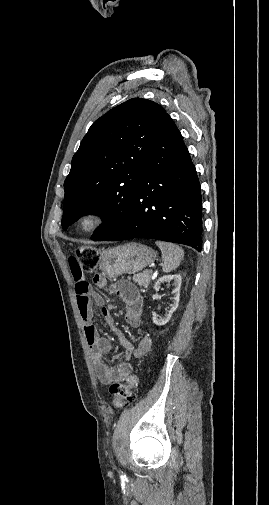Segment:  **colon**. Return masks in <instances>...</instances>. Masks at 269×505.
<instances>
[{
    "instance_id": "colon-1",
    "label": "colon",
    "mask_w": 269,
    "mask_h": 505,
    "mask_svg": "<svg viewBox=\"0 0 269 505\" xmlns=\"http://www.w3.org/2000/svg\"><path fill=\"white\" fill-rule=\"evenodd\" d=\"M99 251L94 246L81 245L76 249L75 256L70 259L81 261V271L83 274H93L98 264ZM138 376L129 375L124 383H113L109 387L114 407L120 408L131 402L135 397L138 386Z\"/></svg>"
}]
</instances>
